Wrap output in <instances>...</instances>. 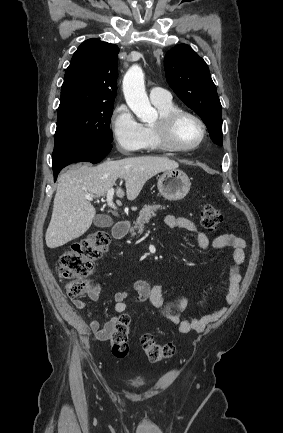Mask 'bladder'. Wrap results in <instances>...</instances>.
Returning a JSON list of instances; mask_svg holds the SVG:
<instances>
[{"label": "bladder", "instance_id": "1", "mask_svg": "<svg viewBox=\"0 0 283 433\" xmlns=\"http://www.w3.org/2000/svg\"><path fill=\"white\" fill-rule=\"evenodd\" d=\"M130 385L132 387H139L141 385V382L140 381L131 382Z\"/></svg>", "mask_w": 283, "mask_h": 433}]
</instances>
